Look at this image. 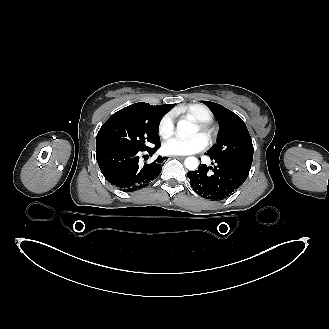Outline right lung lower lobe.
Here are the masks:
<instances>
[{"instance_id": "right-lung-lower-lobe-1", "label": "right lung lower lobe", "mask_w": 329, "mask_h": 329, "mask_svg": "<svg viewBox=\"0 0 329 329\" xmlns=\"http://www.w3.org/2000/svg\"><path fill=\"white\" fill-rule=\"evenodd\" d=\"M159 144L145 150L119 147H97L96 158L105 179L124 192H133L149 186L160 174L164 160L159 156L155 161L144 166L139 165L141 152L151 156Z\"/></svg>"}]
</instances>
